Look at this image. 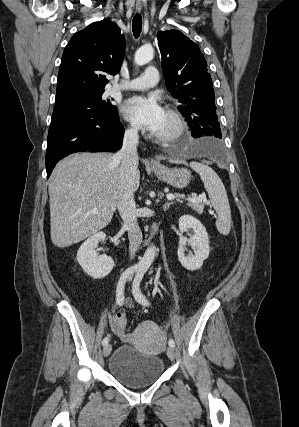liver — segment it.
Instances as JSON below:
<instances>
[{"label":"liver","mask_w":299,"mask_h":427,"mask_svg":"<svg viewBox=\"0 0 299 427\" xmlns=\"http://www.w3.org/2000/svg\"><path fill=\"white\" fill-rule=\"evenodd\" d=\"M114 156L109 152L76 153L54 168L48 191L51 240L55 246H71L110 223L121 183L120 161ZM134 183L135 191L140 184L138 169Z\"/></svg>","instance_id":"6515ba94"}]
</instances>
